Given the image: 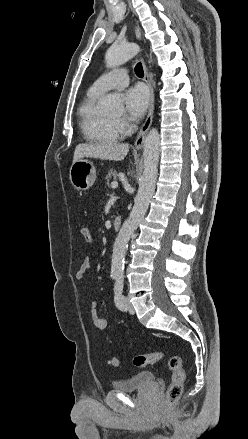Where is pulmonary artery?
Returning <instances> with one entry per match:
<instances>
[{"label": "pulmonary artery", "instance_id": "1", "mask_svg": "<svg viewBox=\"0 0 248 439\" xmlns=\"http://www.w3.org/2000/svg\"><path fill=\"white\" fill-rule=\"evenodd\" d=\"M126 70L117 69L99 77L91 86L90 90L96 93H104L111 89L123 88L128 84Z\"/></svg>", "mask_w": 248, "mask_h": 439}]
</instances>
